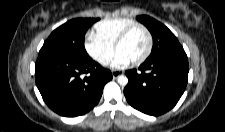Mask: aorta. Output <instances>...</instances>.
Returning <instances> with one entry per match:
<instances>
[{
	"mask_svg": "<svg viewBox=\"0 0 225 132\" xmlns=\"http://www.w3.org/2000/svg\"><path fill=\"white\" fill-rule=\"evenodd\" d=\"M117 81L121 86H126L128 83V78L125 75H119Z\"/></svg>",
	"mask_w": 225,
	"mask_h": 132,
	"instance_id": "obj_1",
	"label": "aorta"
}]
</instances>
